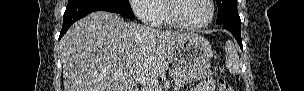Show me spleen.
<instances>
[{
    "mask_svg": "<svg viewBox=\"0 0 304 91\" xmlns=\"http://www.w3.org/2000/svg\"><path fill=\"white\" fill-rule=\"evenodd\" d=\"M226 52V67L230 73L237 75L240 73L241 63L238 52L232 41H227L225 46Z\"/></svg>",
    "mask_w": 304,
    "mask_h": 91,
    "instance_id": "obj_1",
    "label": "spleen"
}]
</instances>
